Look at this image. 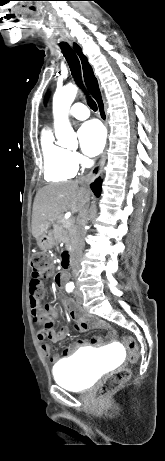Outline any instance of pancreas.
Returning a JSON list of instances; mask_svg holds the SVG:
<instances>
[{
	"mask_svg": "<svg viewBox=\"0 0 165 461\" xmlns=\"http://www.w3.org/2000/svg\"><path fill=\"white\" fill-rule=\"evenodd\" d=\"M53 234L56 241L65 243L67 247L72 245L74 230L71 222L62 217L58 218L54 224Z\"/></svg>",
	"mask_w": 165,
	"mask_h": 461,
	"instance_id": "pancreas-1",
	"label": "pancreas"
}]
</instances>
